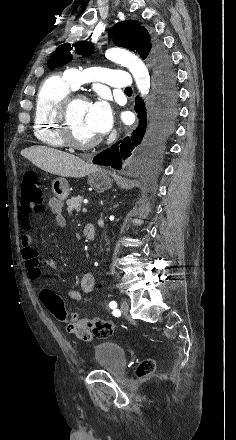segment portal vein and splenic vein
<instances>
[{
	"label": "portal vein and splenic vein",
	"mask_w": 236,
	"mask_h": 440,
	"mask_svg": "<svg viewBox=\"0 0 236 440\" xmlns=\"http://www.w3.org/2000/svg\"><path fill=\"white\" fill-rule=\"evenodd\" d=\"M82 211H83L84 213H86V212H87V208H86V207H83V208H82Z\"/></svg>",
	"instance_id": "portal-vein-and-splenic-vein-1"
}]
</instances>
